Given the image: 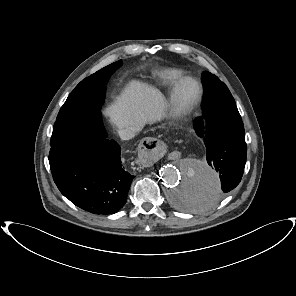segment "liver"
<instances>
[{
	"instance_id": "6515ba94",
	"label": "liver",
	"mask_w": 296,
	"mask_h": 296,
	"mask_svg": "<svg viewBox=\"0 0 296 296\" xmlns=\"http://www.w3.org/2000/svg\"><path fill=\"white\" fill-rule=\"evenodd\" d=\"M165 99L155 87L132 81L117 102L107 109L111 120L119 127L140 126L163 117Z\"/></svg>"
}]
</instances>
